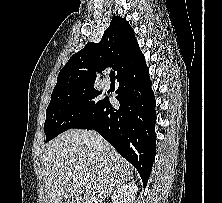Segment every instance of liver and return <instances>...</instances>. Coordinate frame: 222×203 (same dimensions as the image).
<instances>
[{
    "instance_id": "liver-1",
    "label": "liver",
    "mask_w": 222,
    "mask_h": 203,
    "mask_svg": "<svg viewBox=\"0 0 222 203\" xmlns=\"http://www.w3.org/2000/svg\"><path fill=\"white\" fill-rule=\"evenodd\" d=\"M42 166L45 203L65 199L100 203L133 174L130 163L108 142L103 140L101 146L94 132L81 129L67 130L51 140L44 150Z\"/></svg>"
}]
</instances>
